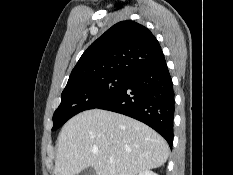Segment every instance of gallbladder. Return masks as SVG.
Segmentation results:
<instances>
[{
    "mask_svg": "<svg viewBox=\"0 0 233 175\" xmlns=\"http://www.w3.org/2000/svg\"><path fill=\"white\" fill-rule=\"evenodd\" d=\"M79 175H96V171L93 167H88L82 170Z\"/></svg>",
    "mask_w": 233,
    "mask_h": 175,
    "instance_id": "1",
    "label": "gallbladder"
}]
</instances>
